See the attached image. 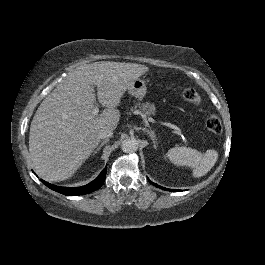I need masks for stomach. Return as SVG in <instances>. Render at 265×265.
Here are the masks:
<instances>
[{
  "instance_id": "1",
  "label": "stomach",
  "mask_w": 265,
  "mask_h": 265,
  "mask_svg": "<svg viewBox=\"0 0 265 265\" xmlns=\"http://www.w3.org/2000/svg\"><path fill=\"white\" fill-rule=\"evenodd\" d=\"M128 93L142 100L147 92L146 83L144 80L136 78L128 87Z\"/></svg>"
}]
</instances>
